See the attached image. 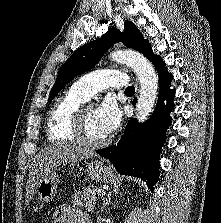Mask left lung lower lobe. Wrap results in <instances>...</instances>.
<instances>
[{
    "mask_svg": "<svg viewBox=\"0 0 221 223\" xmlns=\"http://www.w3.org/2000/svg\"><path fill=\"white\" fill-rule=\"evenodd\" d=\"M153 64L159 74L160 87L154 113L145 123L131 119L118 143L96 151L109 159L120 174L140 177L151 190L159 177L160 151L171 123L169 113L174 106L175 94V90L168 88L173 76L167 72L165 62L158 57ZM164 100L167 105L163 104ZM132 103L135 105L136 100Z\"/></svg>",
    "mask_w": 221,
    "mask_h": 223,
    "instance_id": "obj_1",
    "label": "left lung lower lobe"
}]
</instances>
